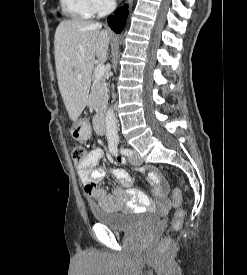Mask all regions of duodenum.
Masks as SVG:
<instances>
[{"instance_id":"410a0bca","label":"duodenum","mask_w":247,"mask_h":275,"mask_svg":"<svg viewBox=\"0 0 247 275\" xmlns=\"http://www.w3.org/2000/svg\"><path fill=\"white\" fill-rule=\"evenodd\" d=\"M94 128L97 134L104 135L106 133V121L102 114L97 115L94 118Z\"/></svg>"}]
</instances>
